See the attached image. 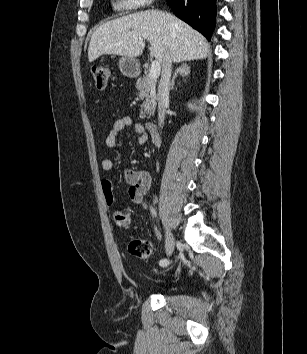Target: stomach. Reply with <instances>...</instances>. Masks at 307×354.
I'll return each instance as SVG.
<instances>
[{"label":"stomach","mask_w":307,"mask_h":354,"mask_svg":"<svg viewBox=\"0 0 307 354\" xmlns=\"http://www.w3.org/2000/svg\"><path fill=\"white\" fill-rule=\"evenodd\" d=\"M119 68L126 77H136L140 73V64L136 58L122 57L119 60Z\"/></svg>","instance_id":"stomach-1"}]
</instances>
